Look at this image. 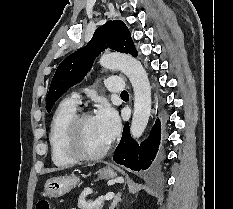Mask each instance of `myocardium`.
Here are the masks:
<instances>
[{"label":"myocardium","instance_id":"myocardium-1","mask_svg":"<svg viewBox=\"0 0 233 209\" xmlns=\"http://www.w3.org/2000/svg\"><path fill=\"white\" fill-rule=\"evenodd\" d=\"M92 117L90 112H80L73 116L69 121L64 137V146L67 154L76 161H93L104 157L110 149L108 142L100 151L88 153L81 149L79 145V129L82 122Z\"/></svg>","mask_w":233,"mask_h":209}]
</instances>
